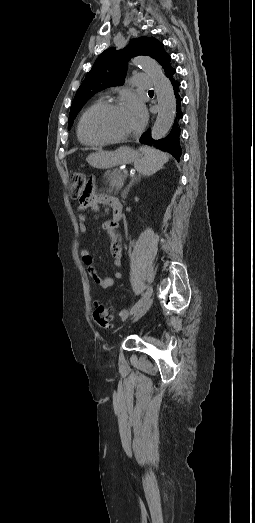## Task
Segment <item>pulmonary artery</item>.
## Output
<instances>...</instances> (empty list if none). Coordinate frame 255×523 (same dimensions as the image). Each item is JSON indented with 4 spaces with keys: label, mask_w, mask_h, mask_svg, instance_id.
<instances>
[{
    "label": "pulmonary artery",
    "mask_w": 255,
    "mask_h": 523,
    "mask_svg": "<svg viewBox=\"0 0 255 523\" xmlns=\"http://www.w3.org/2000/svg\"><path fill=\"white\" fill-rule=\"evenodd\" d=\"M132 80L133 82L137 83V85H135V88H137V90L140 92H149L153 88L152 77L148 73H136L135 75H133ZM121 92L123 94H127L129 92V89L127 87H123L121 89Z\"/></svg>",
    "instance_id": "pulmonary-artery-1"
}]
</instances>
